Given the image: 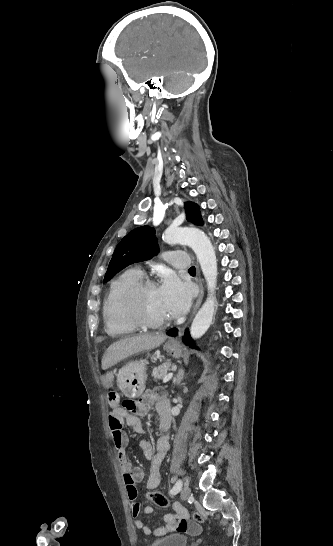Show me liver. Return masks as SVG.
<instances>
[{
  "mask_svg": "<svg viewBox=\"0 0 333 546\" xmlns=\"http://www.w3.org/2000/svg\"><path fill=\"white\" fill-rule=\"evenodd\" d=\"M165 340V335L158 334L138 335L117 341L107 348L102 358V369L106 370L135 353L157 348Z\"/></svg>",
  "mask_w": 333,
  "mask_h": 546,
  "instance_id": "obj_1",
  "label": "liver"
}]
</instances>
